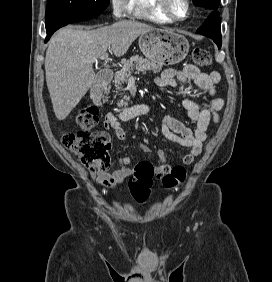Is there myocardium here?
<instances>
[{"mask_svg": "<svg viewBox=\"0 0 272 282\" xmlns=\"http://www.w3.org/2000/svg\"><path fill=\"white\" fill-rule=\"evenodd\" d=\"M157 1H159V3H158L159 9L171 20L182 21L190 15V12H191L190 0H183L185 7H186V11H185L184 16H178L172 11L171 0H157Z\"/></svg>", "mask_w": 272, "mask_h": 282, "instance_id": "1", "label": "myocardium"}]
</instances>
